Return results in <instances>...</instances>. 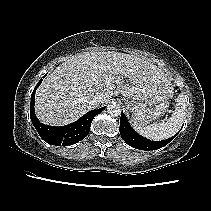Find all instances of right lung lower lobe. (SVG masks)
I'll use <instances>...</instances> for the list:
<instances>
[{
  "instance_id": "obj_1",
  "label": "right lung lower lobe",
  "mask_w": 211,
  "mask_h": 211,
  "mask_svg": "<svg viewBox=\"0 0 211 211\" xmlns=\"http://www.w3.org/2000/svg\"><path fill=\"white\" fill-rule=\"evenodd\" d=\"M41 82L42 79L34 88L31 95L30 104V118L40 137L48 144L56 146H69L84 139L90 131L92 120L104 109V107L97 110L89 111L79 120L66 126L53 127L44 125L37 119L34 111L35 92Z\"/></svg>"
}]
</instances>
